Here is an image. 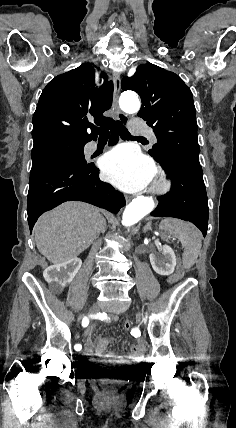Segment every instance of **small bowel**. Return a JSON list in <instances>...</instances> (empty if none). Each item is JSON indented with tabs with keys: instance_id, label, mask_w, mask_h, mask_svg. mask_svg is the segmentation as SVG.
I'll use <instances>...</instances> for the list:
<instances>
[{
	"instance_id": "c3829d8e",
	"label": "small bowel",
	"mask_w": 236,
	"mask_h": 428,
	"mask_svg": "<svg viewBox=\"0 0 236 428\" xmlns=\"http://www.w3.org/2000/svg\"><path fill=\"white\" fill-rule=\"evenodd\" d=\"M102 320L105 322H116L118 321V317L116 315H105ZM92 331V327L85 330L87 339L84 354L87 357H103L111 364L129 367L137 366L140 363L145 350V342L143 340H138L135 344H132L128 355H117L114 351H107L111 339L100 336L93 341L91 338Z\"/></svg>"
}]
</instances>
